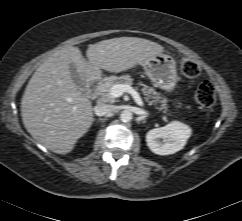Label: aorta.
<instances>
[{
  "mask_svg": "<svg viewBox=\"0 0 242 221\" xmlns=\"http://www.w3.org/2000/svg\"><path fill=\"white\" fill-rule=\"evenodd\" d=\"M132 113L129 110H124L120 114V120L122 122H130L132 120Z\"/></svg>",
  "mask_w": 242,
  "mask_h": 221,
  "instance_id": "obj_1",
  "label": "aorta"
}]
</instances>
